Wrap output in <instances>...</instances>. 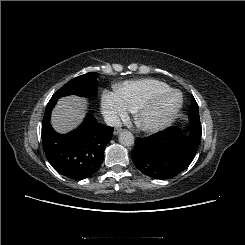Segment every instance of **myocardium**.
Masks as SVG:
<instances>
[{
    "mask_svg": "<svg viewBox=\"0 0 245 245\" xmlns=\"http://www.w3.org/2000/svg\"><path fill=\"white\" fill-rule=\"evenodd\" d=\"M174 94H178L180 97V100L178 104L170 112L154 120H151V121H148L145 119V114L150 109H152L157 103L161 102L162 100ZM182 105H183L182 93L179 90L170 89L169 91L155 94L145 99L138 105H136L133 109L134 121L136 125L143 131L157 132L163 129L164 127H166L168 124H170L174 120V118L177 116V114L181 110Z\"/></svg>",
    "mask_w": 245,
    "mask_h": 245,
    "instance_id": "f54148a6",
    "label": "myocardium"
}]
</instances>
